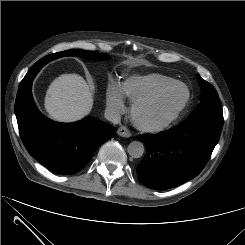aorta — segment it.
<instances>
[{
	"label": "aorta",
	"instance_id": "1",
	"mask_svg": "<svg viewBox=\"0 0 245 245\" xmlns=\"http://www.w3.org/2000/svg\"><path fill=\"white\" fill-rule=\"evenodd\" d=\"M128 154L133 158H140L144 153V145L139 141H132L127 148Z\"/></svg>",
	"mask_w": 245,
	"mask_h": 245
}]
</instances>
